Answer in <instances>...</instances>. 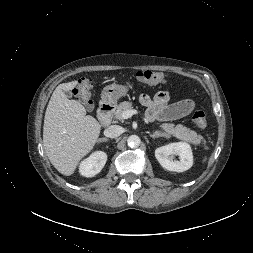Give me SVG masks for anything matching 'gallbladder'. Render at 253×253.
<instances>
[{
    "mask_svg": "<svg viewBox=\"0 0 253 253\" xmlns=\"http://www.w3.org/2000/svg\"><path fill=\"white\" fill-rule=\"evenodd\" d=\"M65 94H66V96L69 97V98L72 97V93H71L70 91H66Z\"/></svg>",
    "mask_w": 253,
    "mask_h": 253,
    "instance_id": "1",
    "label": "gallbladder"
}]
</instances>
